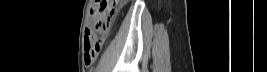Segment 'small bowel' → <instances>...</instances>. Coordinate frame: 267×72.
Returning <instances> with one entry per match:
<instances>
[{
	"label": "small bowel",
	"instance_id": "obj_1",
	"mask_svg": "<svg viewBox=\"0 0 267 72\" xmlns=\"http://www.w3.org/2000/svg\"><path fill=\"white\" fill-rule=\"evenodd\" d=\"M84 50H85V53H84V61L86 63V65H90L91 62L87 60V55H86V48H85V39H84ZM98 56V55H97ZM97 58V57H96Z\"/></svg>",
	"mask_w": 267,
	"mask_h": 72
}]
</instances>
